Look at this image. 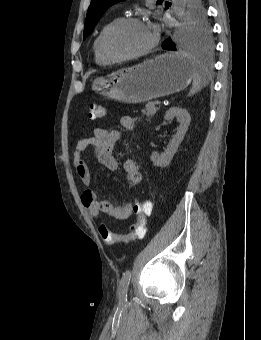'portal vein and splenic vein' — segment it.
<instances>
[{
  "instance_id": "1",
  "label": "portal vein and splenic vein",
  "mask_w": 261,
  "mask_h": 340,
  "mask_svg": "<svg viewBox=\"0 0 261 340\" xmlns=\"http://www.w3.org/2000/svg\"><path fill=\"white\" fill-rule=\"evenodd\" d=\"M156 105L160 106L161 105V101L160 100L156 101Z\"/></svg>"
}]
</instances>
